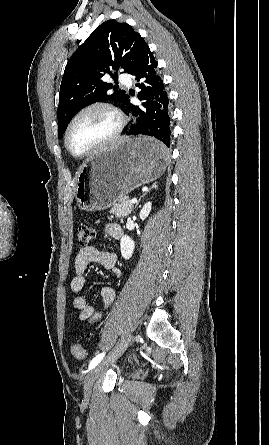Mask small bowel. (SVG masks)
Listing matches in <instances>:
<instances>
[{"mask_svg": "<svg viewBox=\"0 0 269 445\" xmlns=\"http://www.w3.org/2000/svg\"><path fill=\"white\" fill-rule=\"evenodd\" d=\"M105 233L114 239H120L123 231L119 224L110 222L105 225ZM90 263L100 264L105 269L119 275L120 270L117 266V256L114 252L102 251L93 246L82 248L74 260V276L70 283V289L75 297L73 298V307L79 311L78 318L81 321L94 323L98 321L103 313L114 301L115 291L110 286H104L100 289V297L103 302L101 310H96L91 306L84 296L78 295L85 286L86 273Z\"/></svg>", "mask_w": 269, "mask_h": 445, "instance_id": "obj_1", "label": "small bowel"}]
</instances>
